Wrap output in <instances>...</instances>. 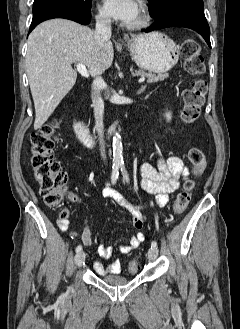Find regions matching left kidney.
<instances>
[{
    "mask_svg": "<svg viewBox=\"0 0 240 329\" xmlns=\"http://www.w3.org/2000/svg\"><path fill=\"white\" fill-rule=\"evenodd\" d=\"M166 118H167V120H170L171 119V114L170 113H166Z\"/></svg>",
    "mask_w": 240,
    "mask_h": 329,
    "instance_id": "left-kidney-1",
    "label": "left kidney"
}]
</instances>
